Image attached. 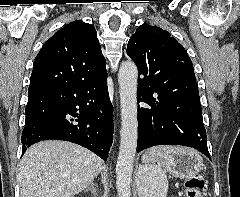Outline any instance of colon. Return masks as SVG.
<instances>
[{"label": "colon", "mask_w": 240, "mask_h": 197, "mask_svg": "<svg viewBox=\"0 0 240 197\" xmlns=\"http://www.w3.org/2000/svg\"><path fill=\"white\" fill-rule=\"evenodd\" d=\"M185 187L187 197H203L202 191L205 187V178L202 174H193L186 178Z\"/></svg>", "instance_id": "obj_1"}]
</instances>
